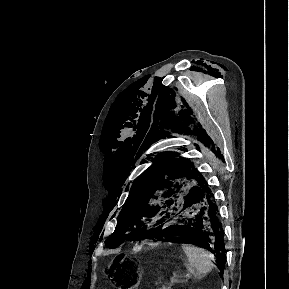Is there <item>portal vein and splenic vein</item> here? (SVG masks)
Here are the masks:
<instances>
[{
  "mask_svg": "<svg viewBox=\"0 0 289 289\" xmlns=\"http://www.w3.org/2000/svg\"><path fill=\"white\" fill-rule=\"evenodd\" d=\"M186 276H188V275H186ZM179 281H180V280H179L178 277H172V278L170 279V284L173 285V284H175V283H177V282H179Z\"/></svg>",
  "mask_w": 289,
  "mask_h": 289,
  "instance_id": "18ae733b",
  "label": "portal vein and splenic vein"
}]
</instances>
